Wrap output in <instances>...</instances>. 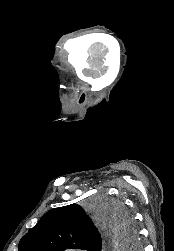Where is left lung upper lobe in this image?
<instances>
[{
  "instance_id": "1",
  "label": "left lung upper lobe",
  "mask_w": 174,
  "mask_h": 251,
  "mask_svg": "<svg viewBox=\"0 0 174 251\" xmlns=\"http://www.w3.org/2000/svg\"><path fill=\"white\" fill-rule=\"evenodd\" d=\"M99 217L114 229L117 238L137 246L138 233L132 216L121 203H104ZM66 248L101 251L102 238L90 217L78 204L47 212L22 237L18 251H61Z\"/></svg>"
}]
</instances>
